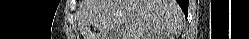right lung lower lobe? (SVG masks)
<instances>
[{"label": "right lung lower lobe", "instance_id": "1", "mask_svg": "<svg viewBox=\"0 0 249 39\" xmlns=\"http://www.w3.org/2000/svg\"><path fill=\"white\" fill-rule=\"evenodd\" d=\"M178 3L180 5V7L182 8L185 16L188 15V3H189V0H178Z\"/></svg>", "mask_w": 249, "mask_h": 39}]
</instances>
